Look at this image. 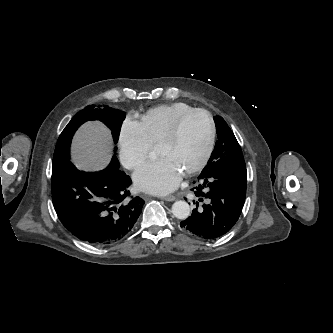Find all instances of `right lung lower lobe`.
I'll return each instance as SVG.
<instances>
[{"label":"right lung lower lobe","mask_w":333,"mask_h":333,"mask_svg":"<svg viewBox=\"0 0 333 333\" xmlns=\"http://www.w3.org/2000/svg\"><path fill=\"white\" fill-rule=\"evenodd\" d=\"M116 156L104 170L84 172L69 159L53 164L52 201L64 227L81 241L109 245L134 227L144 200L130 197L132 181Z\"/></svg>","instance_id":"1"}]
</instances>
